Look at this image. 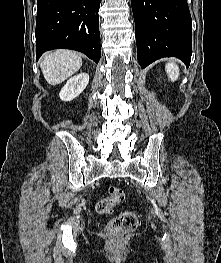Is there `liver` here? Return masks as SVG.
Returning <instances> with one entry per match:
<instances>
[{
    "label": "liver",
    "instance_id": "obj_1",
    "mask_svg": "<svg viewBox=\"0 0 221 263\" xmlns=\"http://www.w3.org/2000/svg\"><path fill=\"white\" fill-rule=\"evenodd\" d=\"M82 66L81 57L69 50L46 53L40 64L42 73L50 85H57L76 73Z\"/></svg>",
    "mask_w": 221,
    "mask_h": 263
}]
</instances>
